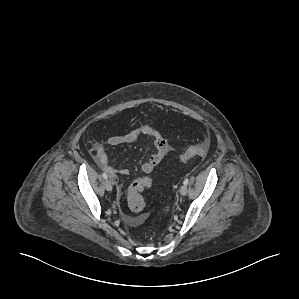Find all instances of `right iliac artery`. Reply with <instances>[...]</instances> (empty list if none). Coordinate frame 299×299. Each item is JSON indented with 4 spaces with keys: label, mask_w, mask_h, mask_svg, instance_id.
<instances>
[{
    "label": "right iliac artery",
    "mask_w": 299,
    "mask_h": 299,
    "mask_svg": "<svg viewBox=\"0 0 299 299\" xmlns=\"http://www.w3.org/2000/svg\"><path fill=\"white\" fill-rule=\"evenodd\" d=\"M102 176H103L104 179L108 178V176H107V174L105 172L102 173Z\"/></svg>",
    "instance_id": "obj_1"
}]
</instances>
